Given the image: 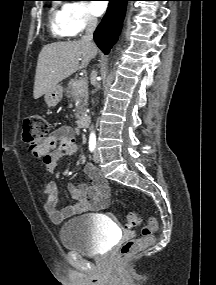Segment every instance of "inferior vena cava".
Listing matches in <instances>:
<instances>
[{
	"label": "inferior vena cava",
	"instance_id": "602c4592",
	"mask_svg": "<svg viewBox=\"0 0 216 285\" xmlns=\"http://www.w3.org/2000/svg\"><path fill=\"white\" fill-rule=\"evenodd\" d=\"M97 26V18L94 16H89L87 19V27H86V32L85 35L82 36L81 41L86 42L90 45H93V33L96 29ZM96 76L97 73L95 71H92L91 73V79L96 84Z\"/></svg>",
	"mask_w": 216,
	"mask_h": 285
}]
</instances>
